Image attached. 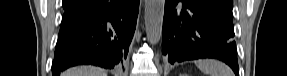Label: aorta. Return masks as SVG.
<instances>
[{"mask_svg": "<svg viewBox=\"0 0 287 76\" xmlns=\"http://www.w3.org/2000/svg\"><path fill=\"white\" fill-rule=\"evenodd\" d=\"M165 0H145V26L148 41L159 43L162 37Z\"/></svg>", "mask_w": 287, "mask_h": 76, "instance_id": "obj_1", "label": "aorta"}]
</instances>
